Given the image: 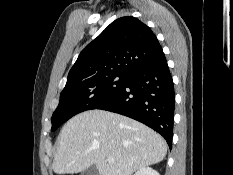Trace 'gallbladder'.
<instances>
[{"label": "gallbladder", "instance_id": "1", "mask_svg": "<svg viewBox=\"0 0 233 175\" xmlns=\"http://www.w3.org/2000/svg\"><path fill=\"white\" fill-rule=\"evenodd\" d=\"M81 175H99V173L97 167L92 165L88 169L84 170Z\"/></svg>", "mask_w": 233, "mask_h": 175}]
</instances>
